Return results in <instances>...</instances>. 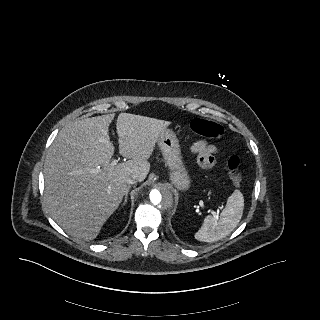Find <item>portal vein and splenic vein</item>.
Returning <instances> with one entry per match:
<instances>
[{"label": "portal vein and splenic vein", "mask_w": 320, "mask_h": 320, "mask_svg": "<svg viewBox=\"0 0 320 320\" xmlns=\"http://www.w3.org/2000/svg\"><path fill=\"white\" fill-rule=\"evenodd\" d=\"M118 161H119V158L113 160L110 165H111V166H115V165H117ZM101 170H102V169L98 166V167L92 169V172H93V173H99ZM209 212L212 213L213 215L218 214V213L214 212V211L211 210V209L209 210Z\"/></svg>", "instance_id": "18ae733b"}]
</instances>
